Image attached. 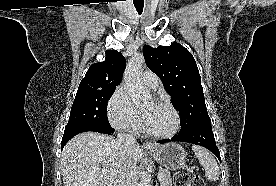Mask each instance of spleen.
I'll return each mask as SVG.
<instances>
[{"instance_id": "1", "label": "spleen", "mask_w": 276, "mask_h": 186, "mask_svg": "<svg viewBox=\"0 0 276 186\" xmlns=\"http://www.w3.org/2000/svg\"><path fill=\"white\" fill-rule=\"evenodd\" d=\"M199 163L205 169V176L209 181H217L220 175L219 167L214 157L204 148L192 146Z\"/></svg>"}]
</instances>
